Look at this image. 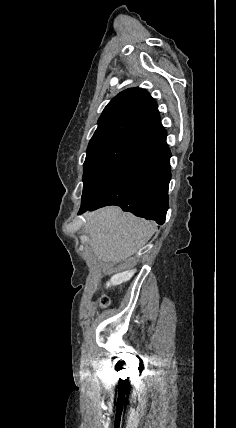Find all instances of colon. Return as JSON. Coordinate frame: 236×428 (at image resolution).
I'll use <instances>...</instances> for the list:
<instances>
[{
	"label": "colon",
	"instance_id": "5ec220e1",
	"mask_svg": "<svg viewBox=\"0 0 236 428\" xmlns=\"http://www.w3.org/2000/svg\"><path fill=\"white\" fill-rule=\"evenodd\" d=\"M99 303L102 307H107L110 303V300L107 297H101Z\"/></svg>",
	"mask_w": 236,
	"mask_h": 428
}]
</instances>
